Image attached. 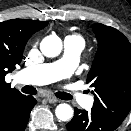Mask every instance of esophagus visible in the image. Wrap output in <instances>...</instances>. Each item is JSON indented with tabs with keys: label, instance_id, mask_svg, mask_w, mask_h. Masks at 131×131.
Listing matches in <instances>:
<instances>
[{
	"label": "esophagus",
	"instance_id": "34e87169",
	"mask_svg": "<svg viewBox=\"0 0 131 131\" xmlns=\"http://www.w3.org/2000/svg\"><path fill=\"white\" fill-rule=\"evenodd\" d=\"M46 99H47V101H48L49 103H56V102L59 101V99H57L56 97L51 96V95H47V96H46Z\"/></svg>",
	"mask_w": 131,
	"mask_h": 131
}]
</instances>
